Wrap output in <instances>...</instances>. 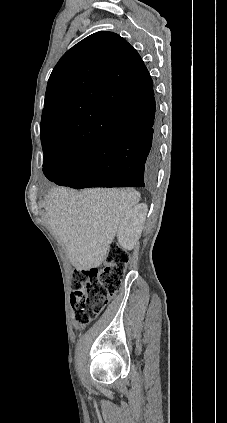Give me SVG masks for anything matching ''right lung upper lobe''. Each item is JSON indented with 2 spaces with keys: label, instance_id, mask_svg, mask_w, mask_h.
I'll list each match as a JSON object with an SVG mask.
<instances>
[{
  "label": "right lung upper lobe",
  "instance_id": "obj_1",
  "mask_svg": "<svg viewBox=\"0 0 227 423\" xmlns=\"http://www.w3.org/2000/svg\"><path fill=\"white\" fill-rule=\"evenodd\" d=\"M153 83L138 52L112 32H97L59 60L48 81L41 119V141L86 151L131 127L100 110L141 101Z\"/></svg>",
  "mask_w": 227,
  "mask_h": 423
}]
</instances>
